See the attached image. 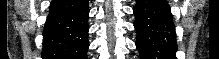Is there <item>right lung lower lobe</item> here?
I'll return each mask as SVG.
<instances>
[{"instance_id": "98d812e1", "label": "right lung lower lobe", "mask_w": 219, "mask_h": 59, "mask_svg": "<svg viewBox=\"0 0 219 59\" xmlns=\"http://www.w3.org/2000/svg\"><path fill=\"white\" fill-rule=\"evenodd\" d=\"M87 0H53L43 31V59H86Z\"/></svg>"}]
</instances>
